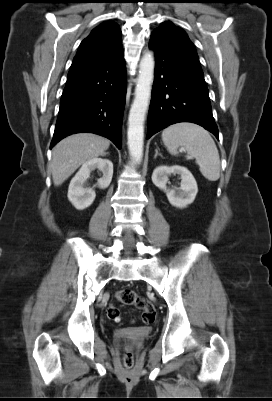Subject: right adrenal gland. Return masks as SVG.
<instances>
[{
	"mask_svg": "<svg viewBox=\"0 0 272 401\" xmlns=\"http://www.w3.org/2000/svg\"><path fill=\"white\" fill-rule=\"evenodd\" d=\"M105 155H109V153L107 152V153H105Z\"/></svg>",
	"mask_w": 272,
	"mask_h": 401,
	"instance_id": "right-adrenal-gland-1",
	"label": "right adrenal gland"
}]
</instances>
